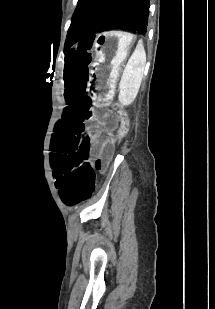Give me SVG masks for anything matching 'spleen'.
<instances>
[{
    "label": "spleen",
    "mask_w": 215,
    "mask_h": 309,
    "mask_svg": "<svg viewBox=\"0 0 215 309\" xmlns=\"http://www.w3.org/2000/svg\"><path fill=\"white\" fill-rule=\"evenodd\" d=\"M146 64V52L142 40H139L133 54H131L119 82V100L122 106H127L135 100L143 78Z\"/></svg>",
    "instance_id": "obj_1"
}]
</instances>
